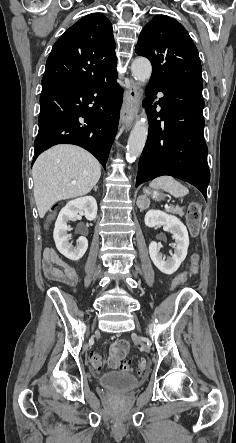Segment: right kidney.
Here are the masks:
<instances>
[{
	"label": "right kidney",
	"mask_w": 236,
	"mask_h": 443,
	"mask_svg": "<svg viewBox=\"0 0 236 443\" xmlns=\"http://www.w3.org/2000/svg\"><path fill=\"white\" fill-rule=\"evenodd\" d=\"M78 213H82L87 220L92 221L97 215V202L92 196H86L69 201L58 215L53 232V238L58 251L72 261H78L83 257L87 248L88 240L81 236L77 239L76 246L69 243L71 230L67 224L70 220H75Z\"/></svg>",
	"instance_id": "obj_1"
}]
</instances>
